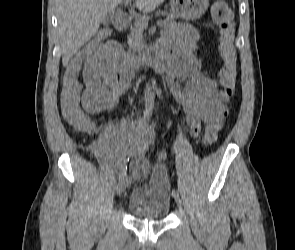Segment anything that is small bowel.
Segmentation results:
<instances>
[{"label":"small bowel","instance_id":"obj_1","mask_svg":"<svg viewBox=\"0 0 295 250\" xmlns=\"http://www.w3.org/2000/svg\"><path fill=\"white\" fill-rule=\"evenodd\" d=\"M199 33L188 25H176L161 37L158 47L167 56L165 67L157 71L165 75L166 83L174 99L182 106L187 125L193 136L202 133L204 124H223L229 113L230 96L219 88L218 83L201 70L196 56ZM117 42L105 44L101 52L89 54L82 50L69 62L66 77L82 78L83 105L91 110L102 111L114 107L120 96L129 88L130 80L117 74V66L123 56ZM152 139V132L132 122L114 126L108 135L111 154L123 162L128 156L131 175L142 179L150 170L145 153ZM162 153L160 158H165Z\"/></svg>","mask_w":295,"mask_h":250}]
</instances>
